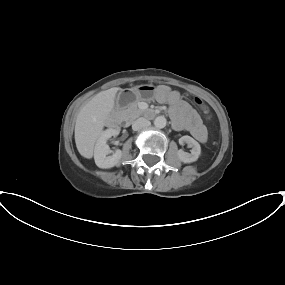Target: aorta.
<instances>
[{"mask_svg":"<svg viewBox=\"0 0 285 285\" xmlns=\"http://www.w3.org/2000/svg\"><path fill=\"white\" fill-rule=\"evenodd\" d=\"M167 120L164 116H158L154 120V125L156 128L162 129L166 126Z\"/></svg>","mask_w":285,"mask_h":285,"instance_id":"aorta-1","label":"aorta"}]
</instances>
